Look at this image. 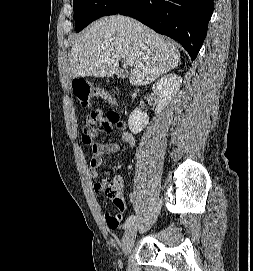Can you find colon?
Here are the masks:
<instances>
[{"instance_id": "obj_1", "label": "colon", "mask_w": 253, "mask_h": 271, "mask_svg": "<svg viewBox=\"0 0 253 271\" xmlns=\"http://www.w3.org/2000/svg\"><path fill=\"white\" fill-rule=\"evenodd\" d=\"M73 89L79 103L84 107L90 106L92 102L96 100H101L106 103H114L115 101V96L111 92L83 79L74 80ZM109 115L113 120L119 119L116 113H110ZM97 187L99 191L104 192V194L110 200H112L117 209L116 212L107 213L105 215L107 225L110 228L119 227L126 207L121 183L116 181L107 182L106 180H102L97 183Z\"/></svg>"}]
</instances>
